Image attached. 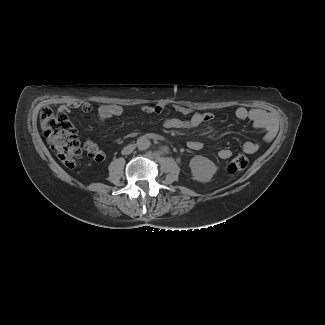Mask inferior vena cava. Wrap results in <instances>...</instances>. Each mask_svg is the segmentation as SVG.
Returning <instances> with one entry per match:
<instances>
[{
  "label": "inferior vena cava",
  "instance_id": "inferior-vena-cava-1",
  "mask_svg": "<svg viewBox=\"0 0 325 325\" xmlns=\"http://www.w3.org/2000/svg\"><path fill=\"white\" fill-rule=\"evenodd\" d=\"M134 149H135V145L130 144V145L124 147V148L122 149L121 153H122L123 155H128V154H131V153L133 152Z\"/></svg>",
  "mask_w": 325,
  "mask_h": 325
}]
</instances>
